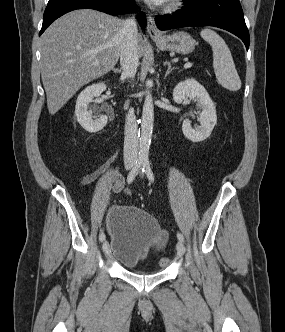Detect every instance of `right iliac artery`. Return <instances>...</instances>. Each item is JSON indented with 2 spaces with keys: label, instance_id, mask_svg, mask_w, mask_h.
I'll return each instance as SVG.
<instances>
[{
  "label": "right iliac artery",
  "instance_id": "right-iliac-artery-1",
  "mask_svg": "<svg viewBox=\"0 0 285 332\" xmlns=\"http://www.w3.org/2000/svg\"><path fill=\"white\" fill-rule=\"evenodd\" d=\"M143 166V161L141 160H137L134 167L132 168V170L129 172L128 176H127V182L128 184H130L136 177L137 173L139 172V170L142 168ZM99 240L102 242L105 240V234L101 233L99 236Z\"/></svg>",
  "mask_w": 285,
  "mask_h": 332
}]
</instances>
